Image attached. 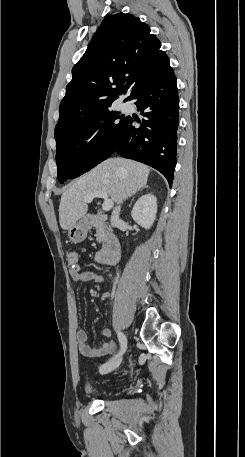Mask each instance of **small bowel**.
<instances>
[{
  "label": "small bowel",
  "mask_w": 245,
  "mask_h": 457,
  "mask_svg": "<svg viewBox=\"0 0 245 457\" xmlns=\"http://www.w3.org/2000/svg\"><path fill=\"white\" fill-rule=\"evenodd\" d=\"M70 276L73 280L86 283V282H101L103 276L100 273L94 271H82L79 269H70ZM115 291V287L111 291H106L102 294V300L110 298ZM106 340L99 347H91L87 342V334L84 330L78 329L76 331V343L78 346L79 352L91 358H97L104 355L112 354L116 349V344L113 340L110 339L111 332L109 330L104 331Z\"/></svg>",
  "instance_id": "c3829d8e"
}]
</instances>
